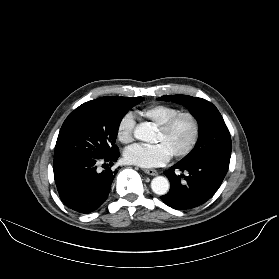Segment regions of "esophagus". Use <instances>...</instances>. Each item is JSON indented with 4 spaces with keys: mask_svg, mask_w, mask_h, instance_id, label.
Wrapping results in <instances>:
<instances>
[{
    "mask_svg": "<svg viewBox=\"0 0 279 279\" xmlns=\"http://www.w3.org/2000/svg\"><path fill=\"white\" fill-rule=\"evenodd\" d=\"M143 171L148 174V175H151V176H156L158 175V172L154 169H143Z\"/></svg>",
    "mask_w": 279,
    "mask_h": 279,
    "instance_id": "esophagus-1",
    "label": "esophagus"
}]
</instances>
